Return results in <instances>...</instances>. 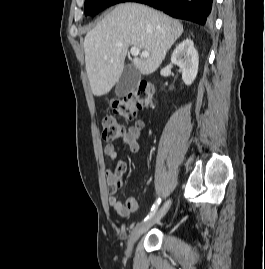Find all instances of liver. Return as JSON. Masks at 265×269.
Returning a JSON list of instances; mask_svg holds the SVG:
<instances>
[{"instance_id": "liver-1", "label": "liver", "mask_w": 265, "mask_h": 269, "mask_svg": "<svg viewBox=\"0 0 265 269\" xmlns=\"http://www.w3.org/2000/svg\"><path fill=\"white\" fill-rule=\"evenodd\" d=\"M182 33L183 25L178 20L159 11L136 3L117 5L84 40L92 93L107 94L118 82L130 46L149 52L146 58L131 60L141 74L148 75L158 69Z\"/></svg>"}]
</instances>
